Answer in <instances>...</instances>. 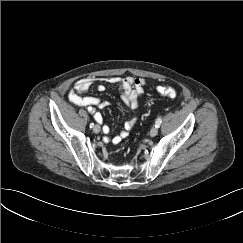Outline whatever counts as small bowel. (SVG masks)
<instances>
[{
  "label": "small bowel",
  "instance_id": "obj_1",
  "mask_svg": "<svg viewBox=\"0 0 243 243\" xmlns=\"http://www.w3.org/2000/svg\"><path fill=\"white\" fill-rule=\"evenodd\" d=\"M102 82H106L117 87L121 93L123 103L131 110H136L139 107V100L144 95V88L147 85V81L145 79L134 77H108L105 79H100L98 77H86L77 80L68 94L69 100L75 105L87 107L97 122H102L103 118L102 115L95 110V108L102 109L107 107L109 102L97 97L85 96L84 93H86L95 83H98V91H104L106 87ZM136 122V117L127 120L124 123L123 130H121L119 134L111 138L107 137L105 140L111 141L114 144L120 143L128 136L129 131L135 126ZM103 131L105 133H109L110 127L105 125L103 127Z\"/></svg>",
  "mask_w": 243,
  "mask_h": 243
}]
</instances>
